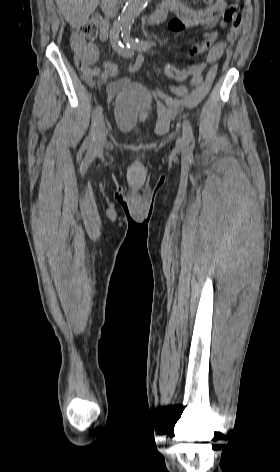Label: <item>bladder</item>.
I'll use <instances>...</instances> for the list:
<instances>
[{
    "label": "bladder",
    "mask_w": 280,
    "mask_h": 472,
    "mask_svg": "<svg viewBox=\"0 0 280 472\" xmlns=\"http://www.w3.org/2000/svg\"><path fill=\"white\" fill-rule=\"evenodd\" d=\"M154 108V99L147 87L139 83L127 85L116 97L114 123L122 132H132Z\"/></svg>",
    "instance_id": "31cf9c89"
}]
</instances>
